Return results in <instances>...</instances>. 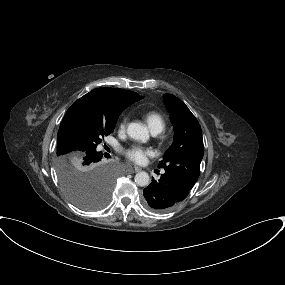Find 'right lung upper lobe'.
Here are the masks:
<instances>
[{"mask_svg":"<svg viewBox=\"0 0 285 285\" xmlns=\"http://www.w3.org/2000/svg\"><path fill=\"white\" fill-rule=\"evenodd\" d=\"M141 97L136 92L120 88H97L72 104L67 110L59 128V137H62L67 125L80 117H100L103 120L114 119L119 109L125 104H132Z\"/></svg>","mask_w":285,"mask_h":285,"instance_id":"right-lung-upper-lobe-1","label":"right lung upper lobe"}]
</instances>
